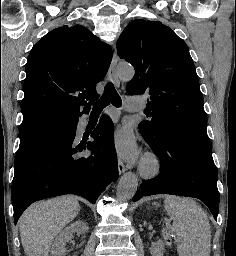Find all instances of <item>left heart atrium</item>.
<instances>
[{
  "label": "left heart atrium",
  "mask_w": 236,
  "mask_h": 256,
  "mask_svg": "<svg viewBox=\"0 0 236 256\" xmlns=\"http://www.w3.org/2000/svg\"><path fill=\"white\" fill-rule=\"evenodd\" d=\"M114 148L123 159H133L138 154V147L130 129L119 130L114 137Z\"/></svg>",
  "instance_id": "1"
}]
</instances>
